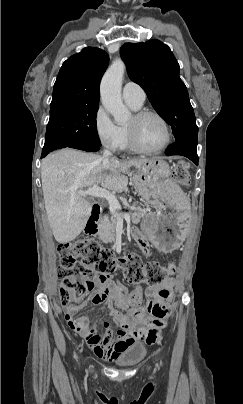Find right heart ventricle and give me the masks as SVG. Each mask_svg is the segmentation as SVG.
<instances>
[{
  "instance_id": "e07e8e85",
  "label": "right heart ventricle",
  "mask_w": 243,
  "mask_h": 404,
  "mask_svg": "<svg viewBox=\"0 0 243 404\" xmlns=\"http://www.w3.org/2000/svg\"><path fill=\"white\" fill-rule=\"evenodd\" d=\"M127 105L134 111H137L141 108L142 105H138L134 102L126 101ZM120 131L122 134V151L129 153V154H139L141 153L139 150H137L130 142L126 129L124 126H120Z\"/></svg>"
}]
</instances>
